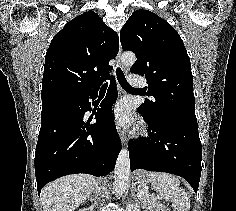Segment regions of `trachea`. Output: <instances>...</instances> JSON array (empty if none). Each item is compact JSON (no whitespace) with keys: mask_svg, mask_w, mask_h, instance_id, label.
I'll return each instance as SVG.
<instances>
[{"mask_svg":"<svg viewBox=\"0 0 236 211\" xmlns=\"http://www.w3.org/2000/svg\"><path fill=\"white\" fill-rule=\"evenodd\" d=\"M116 75H117V79L123 89H126V90H134L135 89L129 85V83L127 82V80L120 68L116 69ZM107 86H108V83H105L102 85V88L105 89V88H107Z\"/></svg>","mask_w":236,"mask_h":211,"instance_id":"trachea-1","label":"trachea"}]
</instances>
